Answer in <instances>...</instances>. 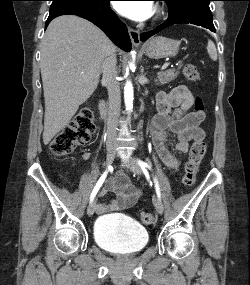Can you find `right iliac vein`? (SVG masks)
Instances as JSON below:
<instances>
[{
	"mask_svg": "<svg viewBox=\"0 0 250 285\" xmlns=\"http://www.w3.org/2000/svg\"><path fill=\"white\" fill-rule=\"evenodd\" d=\"M115 155H116L115 149L114 148H108L107 154H106V163H105L106 167H109L113 163ZM95 208H96V200L93 199L88 206L87 214L89 216H92L95 212Z\"/></svg>",
	"mask_w": 250,
	"mask_h": 285,
	"instance_id": "63e3f726",
	"label": "right iliac vein"
}]
</instances>
